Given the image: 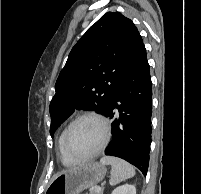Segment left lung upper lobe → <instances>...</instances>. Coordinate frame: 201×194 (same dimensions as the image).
I'll use <instances>...</instances> for the list:
<instances>
[{"mask_svg": "<svg viewBox=\"0 0 201 194\" xmlns=\"http://www.w3.org/2000/svg\"><path fill=\"white\" fill-rule=\"evenodd\" d=\"M142 45L134 23L119 12H107L82 36L56 81L52 137L75 109L106 112Z\"/></svg>", "mask_w": 201, "mask_h": 194, "instance_id": "obj_1", "label": "left lung upper lobe"}]
</instances>
